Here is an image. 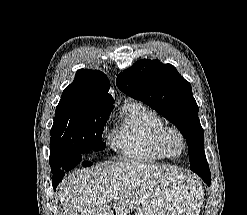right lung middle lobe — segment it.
<instances>
[{"instance_id":"dd1d6c3e","label":"right lung middle lobe","mask_w":247,"mask_h":215,"mask_svg":"<svg viewBox=\"0 0 247 215\" xmlns=\"http://www.w3.org/2000/svg\"><path fill=\"white\" fill-rule=\"evenodd\" d=\"M110 113L111 109L85 103L72 93L62 94L51 128L49 161L52 172L62 166L68 170L74 168L77 164L67 162L71 156L85 158L105 148L102 132Z\"/></svg>"}]
</instances>
